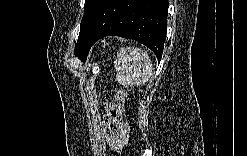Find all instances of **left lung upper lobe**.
Here are the masks:
<instances>
[{
	"instance_id": "5c2ea615",
	"label": "left lung upper lobe",
	"mask_w": 247,
	"mask_h": 156,
	"mask_svg": "<svg viewBox=\"0 0 247 156\" xmlns=\"http://www.w3.org/2000/svg\"><path fill=\"white\" fill-rule=\"evenodd\" d=\"M106 0H85L84 15L81 21L80 33L75 45V56H80L85 48V35L90 24Z\"/></svg>"
}]
</instances>
